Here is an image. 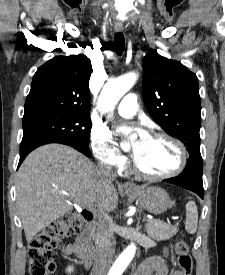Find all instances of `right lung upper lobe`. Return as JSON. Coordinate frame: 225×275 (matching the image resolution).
<instances>
[{
	"label": "right lung upper lobe",
	"mask_w": 225,
	"mask_h": 275,
	"mask_svg": "<svg viewBox=\"0 0 225 275\" xmlns=\"http://www.w3.org/2000/svg\"><path fill=\"white\" fill-rule=\"evenodd\" d=\"M90 59L57 56L36 71L24 106V116L44 112H84L89 108Z\"/></svg>",
	"instance_id": "1"
}]
</instances>
